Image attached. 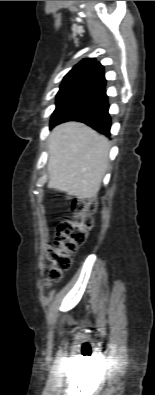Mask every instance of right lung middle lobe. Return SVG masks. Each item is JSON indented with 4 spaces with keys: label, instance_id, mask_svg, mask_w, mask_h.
Listing matches in <instances>:
<instances>
[{
    "label": "right lung middle lobe",
    "instance_id": "right-lung-middle-lobe-1",
    "mask_svg": "<svg viewBox=\"0 0 155 395\" xmlns=\"http://www.w3.org/2000/svg\"><path fill=\"white\" fill-rule=\"evenodd\" d=\"M104 89L83 84L61 85L56 96V109L53 112L50 127L71 117L94 102Z\"/></svg>",
    "mask_w": 155,
    "mask_h": 395
}]
</instances>
